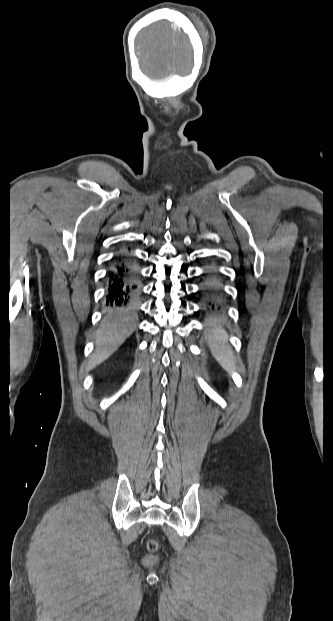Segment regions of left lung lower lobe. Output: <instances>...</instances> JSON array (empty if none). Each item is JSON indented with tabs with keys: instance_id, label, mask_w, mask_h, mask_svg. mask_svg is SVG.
Returning <instances> with one entry per match:
<instances>
[{
	"instance_id": "obj_1",
	"label": "left lung lower lobe",
	"mask_w": 333,
	"mask_h": 621,
	"mask_svg": "<svg viewBox=\"0 0 333 621\" xmlns=\"http://www.w3.org/2000/svg\"><path fill=\"white\" fill-rule=\"evenodd\" d=\"M206 271V277L200 286L202 303L206 311L218 315L223 311V301L219 291L220 276L214 269Z\"/></svg>"
}]
</instances>
